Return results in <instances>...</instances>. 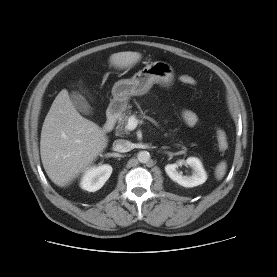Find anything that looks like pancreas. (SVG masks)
Returning a JSON list of instances; mask_svg holds the SVG:
<instances>
[{"instance_id": "pancreas-1", "label": "pancreas", "mask_w": 277, "mask_h": 277, "mask_svg": "<svg viewBox=\"0 0 277 277\" xmlns=\"http://www.w3.org/2000/svg\"><path fill=\"white\" fill-rule=\"evenodd\" d=\"M131 110H127V111H125L124 113H122L120 116H119V118H118V126H117V129L119 130V131H122V130H124V128H125V126H126V124H127V122H128V119H129V117L131 116ZM184 149H185V147H183Z\"/></svg>"}]
</instances>
